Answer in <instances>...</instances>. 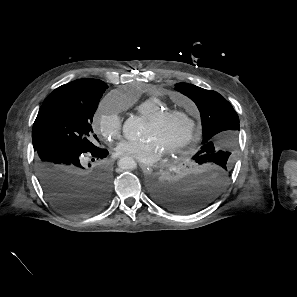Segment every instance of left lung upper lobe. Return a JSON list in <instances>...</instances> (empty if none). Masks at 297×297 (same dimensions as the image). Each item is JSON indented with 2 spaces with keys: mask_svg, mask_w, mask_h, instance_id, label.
Instances as JSON below:
<instances>
[{
  "mask_svg": "<svg viewBox=\"0 0 297 297\" xmlns=\"http://www.w3.org/2000/svg\"><path fill=\"white\" fill-rule=\"evenodd\" d=\"M175 89L197 105L202 120L203 142L194 157L214 158L232 167L236 155L239 118L219 93L193 84L178 83Z\"/></svg>",
  "mask_w": 297,
  "mask_h": 297,
  "instance_id": "left-lung-upper-lobe-1",
  "label": "left lung upper lobe"
}]
</instances>
